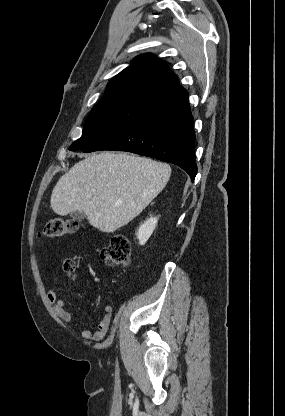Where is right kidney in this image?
<instances>
[{"instance_id":"obj_1","label":"right kidney","mask_w":285,"mask_h":416,"mask_svg":"<svg viewBox=\"0 0 285 416\" xmlns=\"http://www.w3.org/2000/svg\"><path fill=\"white\" fill-rule=\"evenodd\" d=\"M158 218H148L146 222L141 224L138 232L137 238L139 240L140 246H144L147 240H149L150 236H152L156 226H157Z\"/></svg>"}]
</instances>
